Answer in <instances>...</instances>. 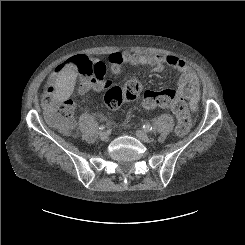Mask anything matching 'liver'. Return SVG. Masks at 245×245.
I'll use <instances>...</instances> for the list:
<instances>
[{"mask_svg":"<svg viewBox=\"0 0 245 245\" xmlns=\"http://www.w3.org/2000/svg\"><path fill=\"white\" fill-rule=\"evenodd\" d=\"M77 68L69 64L59 75L57 89L54 93L56 100H63L69 97L74 89Z\"/></svg>","mask_w":245,"mask_h":245,"instance_id":"obj_1","label":"liver"}]
</instances>
